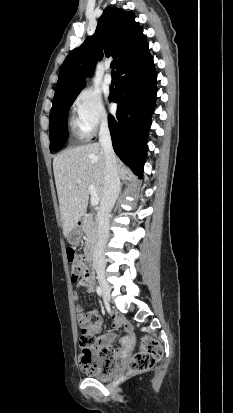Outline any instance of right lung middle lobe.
Returning <instances> with one entry per match:
<instances>
[{
    "label": "right lung middle lobe",
    "mask_w": 233,
    "mask_h": 413,
    "mask_svg": "<svg viewBox=\"0 0 233 413\" xmlns=\"http://www.w3.org/2000/svg\"><path fill=\"white\" fill-rule=\"evenodd\" d=\"M77 95L62 99L52 105L49 119L50 152L58 151L67 140V114Z\"/></svg>",
    "instance_id": "right-lung-middle-lobe-1"
}]
</instances>
